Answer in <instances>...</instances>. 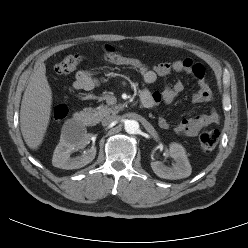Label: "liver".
Here are the masks:
<instances>
[{"mask_svg":"<svg viewBox=\"0 0 248 248\" xmlns=\"http://www.w3.org/2000/svg\"><path fill=\"white\" fill-rule=\"evenodd\" d=\"M52 91L46 77V66L40 64L31 75L20 109V127L27 146L36 150L42 144L50 121Z\"/></svg>","mask_w":248,"mask_h":248,"instance_id":"liver-1","label":"liver"}]
</instances>
